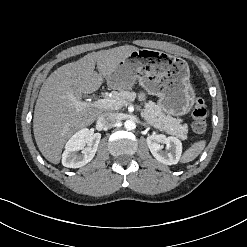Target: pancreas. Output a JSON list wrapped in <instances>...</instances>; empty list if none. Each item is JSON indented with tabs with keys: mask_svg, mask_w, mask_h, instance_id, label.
<instances>
[{
	"mask_svg": "<svg viewBox=\"0 0 247 247\" xmlns=\"http://www.w3.org/2000/svg\"><path fill=\"white\" fill-rule=\"evenodd\" d=\"M111 99L121 101V102H132L136 98L135 92L130 91H112ZM142 117L144 120L158 128L160 130L165 131L170 135H175L176 137L186 140L188 128L187 125H181V120L171 117L170 115H166L160 105L149 101L144 104V110L142 111Z\"/></svg>",
	"mask_w": 247,
	"mask_h": 247,
	"instance_id": "cf45deb5",
	"label": "pancreas"
}]
</instances>
